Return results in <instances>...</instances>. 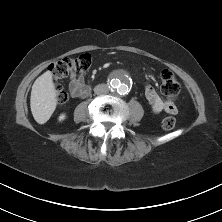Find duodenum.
<instances>
[{"instance_id":"obj_1","label":"duodenum","mask_w":222,"mask_h":222,"mask_svg":"<svg viewBox=\"0 0 222 222\" xmlns=\"http://www.w3.org/2000/svg\"><path fill=\"white\" fill-rule=\"evenodd\" d=\"M90 92V88L89 87H85V93H89Z\"/></svg>"}]
</instances>
